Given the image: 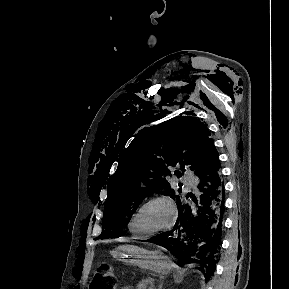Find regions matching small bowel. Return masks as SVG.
<instances>
[{"instance_id": "obj_1", "label": "small bowel", "mask_w": 289, "mask_h": 289, "mask_svg": "<svg viewBox=\"0 0 289 289\" xmlns=\"http://www.w3.org/2000/svg\"><path fill=\"white\" fill-rule=\"evenodd\" d=\"M122 289H131V288H129V287H124V288H122Z\"/></svg>"}]
</instances>
